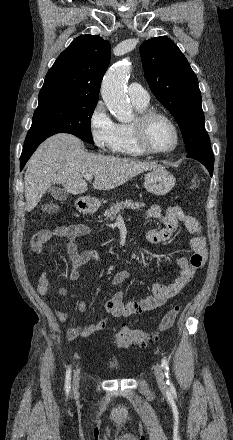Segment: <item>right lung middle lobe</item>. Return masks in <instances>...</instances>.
Returning <instances> with one entry per match:
<instances>
[{"label": "right lung middle lobe", "mask_w": 233, "mask_h": 440, "mask_svg": "<svg viewBox=\"0 0 233 440\" xmlns=\"http://www.w3.org/2000/svg\"><path fill=\"white\" fill-rule=\"evenodd\" d=\"M97 101L54 98L38 104L28 133H70L93 144L90 122Z\"/></svg>", "instance_id": "dd1d6c3e"}]
</instances>
